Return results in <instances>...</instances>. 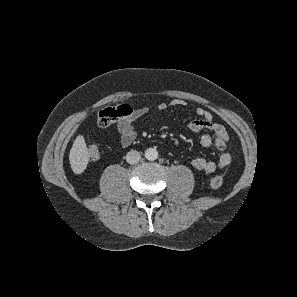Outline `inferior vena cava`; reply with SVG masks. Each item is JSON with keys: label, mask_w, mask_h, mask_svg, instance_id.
Wrapping results in <instances>:
<instances>
[{"label": "inferior vena cava", "mask_w": 297, "mask_h": 297, "mask_svg": "<svg viewBox=\"0 0 297 297\" xmlns=\"http://www.w3.org/2000/svg\"><path fill=\"white\" fill-rule=\"evenodd\" d=\"M140 159H141V155L136 150H131L126 155V161L129 164H136L137 162H139Z\"/></svg>", "instance_id": "obj_1"}]
</instances>
